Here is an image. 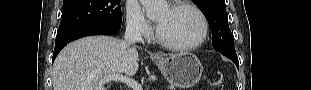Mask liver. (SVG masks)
<instances>
[{
  "mask_svg": "<svg viewBox=\"0 0 311 90\" xmlns=\"http://www.w3.org/2000/svg\"><path fill=\"white\" fill-rule=\"evenodd\" d=\"M134 44L110 36H89L68 44L53 66L54 90H107L106 76H133L138 70Z\"/></svg>",
  "mask_w": 311,
  "mask_h": 90,
  "instance_id": "6515ba94",
  "label": "liver"
}]
</instances>
